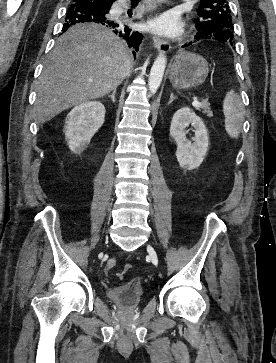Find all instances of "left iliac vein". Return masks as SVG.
Masks as SVG:
<instances>
[{
  "label": "left iliac vein",
  "mask_w": 276,
  "mask_h": 363,
  "mask_svg": "<svg viewBox=\"0 0 276 363\" xmlns=\"http://www.w3.org/2000/svg\"><path fill=\"white\" fill-rule=\"evenodd\" d=\"M148 253H149V256H150V258H151L152 262H153L155 265H157V263H158L157 254H156V252H155V250L153 249V247H152V246H148Z\"/></svg>",
  "instance_id": "4c4485c4"
}]
</instances>
